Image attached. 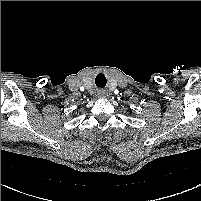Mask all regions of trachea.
Here are the masks:
<instances>
[{
    "mask_svg": "<svg viewBox=\"0 0 201 201\" xmlns=\"http://www.w3.org/2000/svg\"><path fill=\"white\" fill-rule=\"evenodd\" d=\"M95 83L97 85V87H105L106 85V78L103 74H100L97 76Z\"/></svg>",
    "mask_w": 201,
    "mask_h": 201,
    "instance_id": "1",
    "label": "trachea"
}]
</instances>
